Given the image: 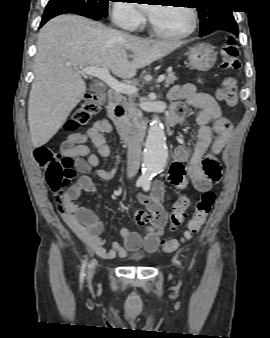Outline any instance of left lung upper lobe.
Segmentation results:
<instances>
[{
	"label": "left lung upper lobe",
	"mask_w": 270,
	"mask_h": 338,
	"mask_svg": "<svg viewBox=\"0 0 270 338\" xmlns=\"http://www.w3.org/2000/svg\"><path fill=\"white\" fill-rule=\"evenodd\" d=\"M200 17V36L207 35L220 28L221 25L233 21L228 0H198Z\"/></svg>",
	"instance_id": "1"
}]
</instances>
